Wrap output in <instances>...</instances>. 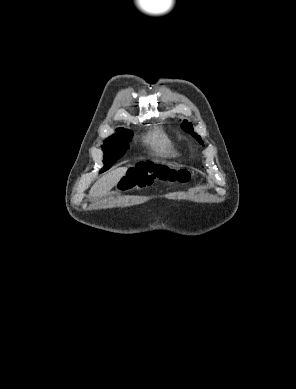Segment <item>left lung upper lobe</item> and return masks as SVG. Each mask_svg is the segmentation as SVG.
<instances>
[{
	"label": "left lung upper lobe",
	"instance_id": "5c2ea615",
	"mask_svg": "<svg viewBox=\"0 0 296 389\" xmlns=\"http://www.w3.org/2000/svg\"><path fill=\"white\" fill-rule=\"evenodd\" d=\"M182 129L185 132L190 133L193 137H195L201 144L203 141L201 140L200 136H198L196 133L193 132L192 124L184 120L183 124L181 125Z\"/></svg>",
	"mask_w": 296,
	"mask_h": 389
}]
</instances>
